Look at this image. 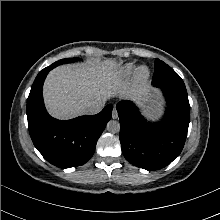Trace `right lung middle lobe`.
<instances>
[{
    "label": "right lung middle lobe",
    "instance_id": "right-lung-middle-lobe-1",
    "mask_svg": "<svg viewBox=\"0 0 220 220\" xmlns=\"http://www.w3.org/2000/svg\"><path fill=\"white\" fill-rule=\"evenodd\" d=\"M80 60L79 58H67V59H62V60H59L55 63H53L52 65L54 67L58 66V65H61V64H64V63H70V62H75V61H78Z\"/></svg>",
    "mask_w": 220,
    "mask_h": 220
}]
</instances>
